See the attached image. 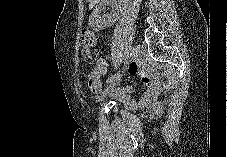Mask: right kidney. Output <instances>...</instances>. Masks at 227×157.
<instances>
[{
    "instance_id": "ca27d5eb",
    "label": "right kidney",
    "mask_w": 227,
    "mask_h": 157,
    "mask_svg": "<svg viewBox=\"0 0 227 157\" xmlns=\"http://www.w3.org/2000/svg\"><path fill=\"white\" fill-rule=\"evenodd\" d=\"M100 12H101L100 8H99V7H96V9L94 10V14H95V15H98ZM107 18H108V20H112V19H111V18H112L111 16H109V17L107 16ZM104 21H105V20H104Z\"/></svg>"
}]
</instances>
